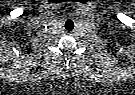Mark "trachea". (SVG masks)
Listing matches in <instances>:
<instances>
[{"instance_id": "obj_1", "label": "trachea", "mask_w": 135, "mask_h": 95, "mask_svg": "<svg viewBox=\"0 0 135 95\" xmlns=\"http://www.w3.org/2000/svg\"><path fill=\"white\" fill-rule=\"evenodd\" d=\"M65 28L67 30H72L74 28V23L71 19H68L65 23Z\"/></svg>"}]
</instances>
